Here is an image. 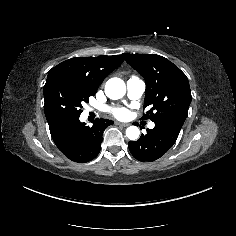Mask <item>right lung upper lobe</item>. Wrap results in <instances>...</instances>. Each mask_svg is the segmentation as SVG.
Returning <instances> with one entry per match:
<instances>
[{"mask_svg":"<svg viewBox=\"0 0 236 236\" xmlns=\"http://www.w3.org/2000/svg\"><path fill=\"white\" fill-rule=\"evenodd\" d=\"M123 61V55L75 57L58 64L48 74L60 72L82 79L96 93L104 78L120 66Z\"/></svg>","mask_w":236,"mask_h":236,"instance_id":"right-lung-upper-lobe-1","label":"right lung upper lobe"}]
</instances>
